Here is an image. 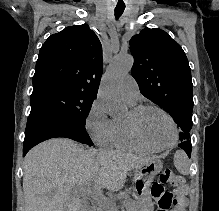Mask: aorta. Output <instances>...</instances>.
<instances>
[{"mask_svg":"<svg viewBox=\"0 0 219 211\" xmlns=\"http://www.w3.org/2000/svg\"><path fill=\"white\" fill-rule=\"evenodd\" d=\"M133 65V57L130 54L116 56L104 76L99 90V98L102 100L107 112L118 117L124 114L126 107L119 98L118 83L128 74Z\"/></svg>","mask_w":219,"mask_h":211,"instance_id":"1","label":"aorta"}]
</instances>
